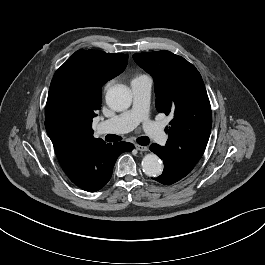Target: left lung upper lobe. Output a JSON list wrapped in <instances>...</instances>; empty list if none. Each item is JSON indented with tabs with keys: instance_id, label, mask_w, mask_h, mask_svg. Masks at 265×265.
Instances as JSON below:
<instances>
[{
	"instance_id": "obj_1",
	"label": "left lung upper lobe",
	"mask_w": 265,
	"mask_h": 265,
	"mask_svg": "<svg viewBox=\"0 0 265 265\" xmlns=\"http://www.w3.org/2000/svg\"><path fill=\"white\" fill-rule=\"evenodd\" d=\"M133 58L154 78L157 110L173 115L165 128L167 159L188 174L202 157L212 126L202 77L191 63L169 51L138 53Z\"/></svg>"
}]
</instances>
